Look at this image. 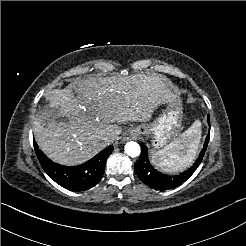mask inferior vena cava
Returning <instances> with one entry per match:
<instances>
[{"mask_svg": "<svg viewBox=\"0 0 246 246\" xmlns=\"http://www.w3.org/2000/svg\"><path fill=\"white\" fill-rule=\"evenodd\" d=\"M117 132H112V133H110L109 135H108V137L109 138H113V139H115L116 137H117Z\"/></svg>", "mask_w": 246, "mask_h": 246, "instance_id": "1", "label": "inferior vena cava"}]
</instances>
